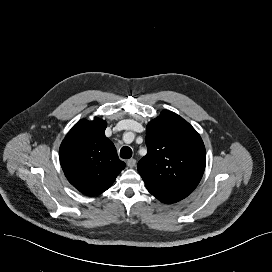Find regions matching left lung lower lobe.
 <instances>
[{"label": "left lung lower lobe", "mask_w": 272, "mask_h": 272, "mask_svg": "<svg viewBox=\"0 0 272 272\" xmlns=\"http://www.w3.org/2000/svg\"><path fill=\"white\" fill-rule=\"evenodd\" d=\"M147 189L158 200H160L161 202L166 203V204L175 203V202H178V201L182 200L183 198H185V197L180 196L178 194L167 192V191H162V190L152 189V188H147Z\"/></svg>", "instance_id": "left-lung-lower-lobe-1"}]
</instances>
